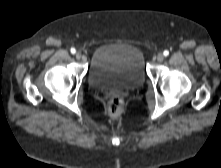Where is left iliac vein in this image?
Here are the masks:
<instances>
[{
    "instance_id": "obj_1",
    "label": "left iliac vein",
    "mask_w": 221,
    "mask_h": 168,
    "mask_svg": "<svg viewBox=\"0 0 221 168\" xmlns=\"http://www.w3.org/2000/svg\"><path fill=\"white\" fill-rule=\"evenodd\" d=\"M157 60H158L159 62H162V61L164 60V54H163V53H158V55H157Z\"/></svg>"
}]
</instances>
